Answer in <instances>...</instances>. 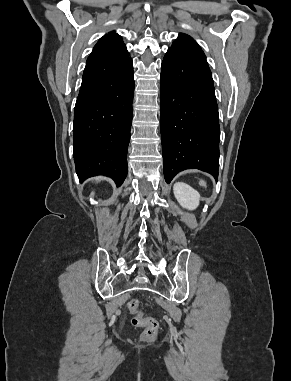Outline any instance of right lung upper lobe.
<instances>
[{"mask_svg":"<svg viewBox=\"0 0 291 381\" xmlns=\"http://www.w3.org/2000/svg\"><path fill=\"white\" fill-rule=\"evenodd\" d=\"M126 50V46L120 35L114 31L104 35L94 46L91 55L109 53V52H122Z\"/></svg>","mask_w":291,"mask_h":381,"instance_id":"cb5924a9","label":"right lung upper lobe"}]
</instances>
